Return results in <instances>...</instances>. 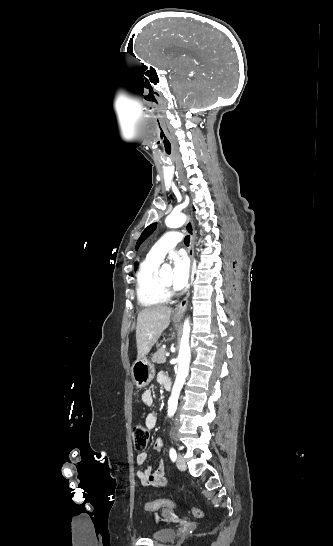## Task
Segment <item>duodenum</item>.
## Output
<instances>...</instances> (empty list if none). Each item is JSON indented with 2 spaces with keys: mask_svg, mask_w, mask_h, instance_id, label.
I'll return each instance as SVG.
<instances>
[{
  "mask_svg": "<svg viewBox=\"0 0 333 546\" xmlns=\"http://www.w3.org/2000/svg\"><path fill=\"white\" fill-rule=\"evenodd\" d=\"M164 387H165V389H167V390H169V389L171 388V381H170L169 378H168L167 381L165 382Z\"/></svg>",
  "mask_w": 333,
  "mask_h": 546,
  "instance_id": "duodenum-1",
  "label": "duodenum"
}]
</instances>
